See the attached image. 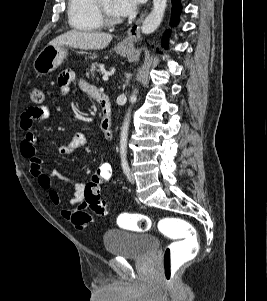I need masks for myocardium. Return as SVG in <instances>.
Here are the masks:
<instances>
[{
    "instance_id": "myocardium-1",
    "label": "myocardium",
    "mask_w": 267,
    "mask_h": 301,
    "mask_svg": "<svg viewBox=\"0 0 267 301\" xmlns=\"http://www.w3.org/2000/svg\"><path fill=\"white\" fill-rule=\"evenodd\" d=\"M95 3L98 16L104 25L114 26L118 25L121 22L119 19L111 17L106 12V10L101 6L100 0H95Z\"/></svg>"
}]
</instances>
